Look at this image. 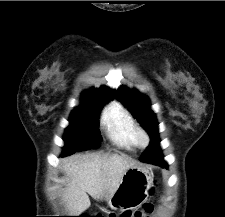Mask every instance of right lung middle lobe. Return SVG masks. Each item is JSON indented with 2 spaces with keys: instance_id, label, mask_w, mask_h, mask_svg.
Here are the masks:
<instances>
[{
  "instance_id": "right-lung-middle-lobe-1",
  "label": "right lung middle lobe",
  "mask_w": 225,
  "mask_h": 217,
  "mask_svg": "<svg viewBox=\"0 0 225 217\" xmlns=\"http://www.w3.org/2000/svg\"><path fill=\"white\" fill-rule=\"evenodd\" d=\"M110 99L84 98L82 106L75 108L70 117L63 140L65 146L62 156L88 150L98 145V114L101 107Z\"/></svg>"
}]
</instances>
